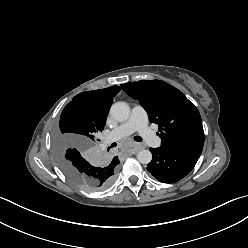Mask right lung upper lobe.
<instances>
[{
	"label": "right lung upper lobe",
	"instance_id": "right-lung-upper-lobe-1",
	"mask_svg": "<svg viewBox=\"0 0 248 248\" xmlns=\"http://www.w3.org/2000/svg\"><path fill=\"white\" fill-rule=\"evenodd\" d=\"M120 90L121 88L119 86H111L105 89L86 91L76 95L72 102H82L87 112L104 127L113 102V97L116 96ZM111 163L118 165V157H114Z\"/></svg>",
	"mask_w": 248,
	"mask_h": 248
}]
</instances>
